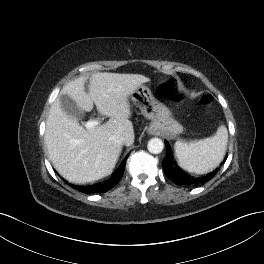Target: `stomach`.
Listing matches in <instances>:
<instances>
[{
  "instance_id": "obj_1",
  "label": "stomach",
  "mask_w": 264,
  "mask_h": 264,
  "mask_svg": "<svg viewBox=\"0 0 264 264\" xmlns=\"http://www.w3.org/2000/svg\"><path fill=\"white\" fill-rule=\"evenodd\" d=\"M131 99L140 108L141 113L152 120L149 126L150 133L159 132L169 138H175L183 132V126L172 117L169 108L159 102L147 86H138L131 94Z\"/></svg>"
}]
</instances>
